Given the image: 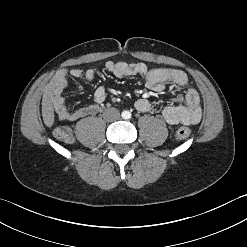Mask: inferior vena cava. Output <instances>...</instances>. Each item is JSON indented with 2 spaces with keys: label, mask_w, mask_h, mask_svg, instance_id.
Returning a JSON list of instances; mask_svg holds the SVG:
<instances>
[{
  "label": "inferior vena cava",
  "mask_w": 247,
  "mask_h": 247,
  "mask_svg": "<svg viewBox=\"0 0 247 247\" xmlns=\"http://www.w3.org/2000/svg\"><path fill=\"white\" fill-rule=\"evenodd\" d=\"M103 117L106 119V120H109V121H114V120H117L119 119L120 117V113L117 109L115 108H109V109H106L103 113Z\"/></svg>",
  "instance_id": "obj_1"
}]
</instances>
